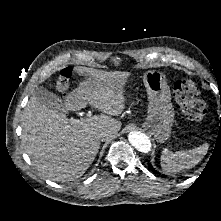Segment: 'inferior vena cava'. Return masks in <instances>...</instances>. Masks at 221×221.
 Here are the masks:
<instances>
[{
    "label": "inferior vena cava",
    "mask_w": 221,
    "mask_h": 221,
    "mask_svg": "<svg viewBox=\"0 0 221 221\" xmlns=\"http://www.w3.org/2000/svg\"><path fill=\"white\" fill-rule=\"evenodd\" d=\"M108 136H109V134H108L107 132H102V133H101V137H102L103 139L107 138Z\"/></svg>",
    "instance_id": "1"
}]
</instances>
